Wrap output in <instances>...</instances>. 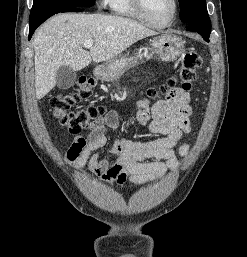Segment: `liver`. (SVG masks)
Instances as JSON below:
<instances>
[{
    "mask_svg": "<svg viewBox=\"0 0 247 257\" xmlns=\"http://www.w3.org/2000/svg\"><path fill=\"white\" fill-rule=\"evenodd\" d=\"M157 32L134 20L104 14H59L46 21L33 38L35 93L38 100L56 85V73L65 65L79 71L116 58L132 44ZM93 40L90 51L86 40Z\"/></svg>",
    "mask_w": 247,
    "mask_h": 257,
    "instance_id": "6515ba94",
    "label": "liver"
}]
</instances>
